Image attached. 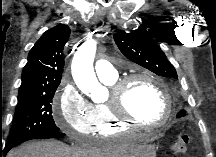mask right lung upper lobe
I'll return each instance as SVG.
<instances>
[{
	"mask_svg": "<svg viewBox=\"0 0 216 157\" xmlns=\"http://www.w3.org/2000/svg\"><path fill=\"white\" fill-rule=\"evenodd\" d=\"M70 35V28L59 24L47 30L35 43L23 68L18 97L36 91L56 89L64 66L63 47Z\"/></svg>",
	"mask_w": 216,
	"mask_h": 157,
	"instance_id": "obj_1",
	"label": "right lung upper lobe"
}]
</instances>
